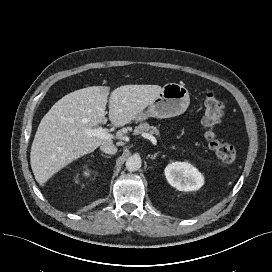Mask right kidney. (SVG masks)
<instances>
[{
    "mask_svg": "<svg viewBox=\"0 0 272 272\" xmlns=\"http://www.w3.org/2000/svg\"><path fill=\"white\" fill-rule=\"evenodd\" d=\"M84 175L85 176H89L90 175V171L89 170L84 171Z\"/></svg>",
    "mask_w": 272,
    "mask_h": 272,
    "instance_id": "right-kidney-1",
    "label": "right kidney"
}]
</instances>
